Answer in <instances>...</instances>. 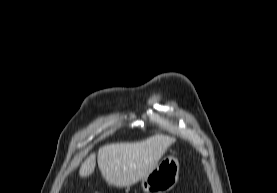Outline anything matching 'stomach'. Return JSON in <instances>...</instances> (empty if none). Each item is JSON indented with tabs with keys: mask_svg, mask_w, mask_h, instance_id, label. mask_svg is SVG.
<instances>
[{
	"mask_svg": "<svg viewBox=\"0 0 277 193\" xmlns=\"http://www.w3.org/2000/svg\"><path fill=\"white\" fill-rule=\"evenodd\" d=\"M179 177V161L167 155L141 179V188L146 193H166L176 185Z\"/></svg>",
	"mask_w": 277,
	"mask_h": 193,
	"instance_id": "0dacf381",
	"label": "stomach"
}]
</instances>
